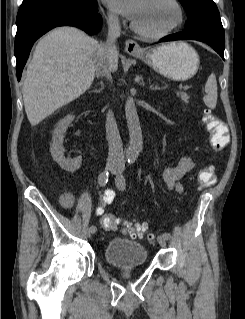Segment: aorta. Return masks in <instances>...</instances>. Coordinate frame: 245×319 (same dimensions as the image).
<instances>
[{"label": "aorta", "instance_id": "1", "mask_svg": "<svg viewBox=\"0 0 245 319\" xmlns=\"http://www.w3.org/2000/svg\"><path fill=\"white\" fill-rule=\"evenodd\" d=\"M125 115L130 137L126 158L129 161H135L142 149L143 139L137 109L132 97L126 100Z\"/></svg>", "mask_w": 245, "mask_h": 319}]
</instances>
